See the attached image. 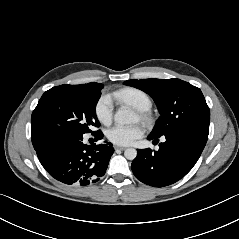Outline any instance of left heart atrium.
I'll return each mask as SVG.
<instances>
[{"label": "left heart atrium", "instance_id": "obj_1", "mask_svg": "<svg viewBox=\"0 0 239 239\" xmlns=\"http://www.w3.org/2000/svg\"><path fill=\"white\" fill-rule=\"evenodd\" d=\"M144 134V128L140 125L125 126L117 124L107 132L108 139L120 146L132 144Z\"/></svg>", "mask_w": 239, "mask_h": 239}]
</instances>
